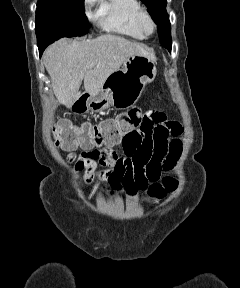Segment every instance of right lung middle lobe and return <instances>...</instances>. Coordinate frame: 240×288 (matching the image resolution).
Masks as SVG:
<instances>
[{"label": "right lung middle lobe", "mask_w": 240, "mask_h": 288, "mask_svg": "<svg viewBox=\"0 0 240 288\" xmlns=\"http://www.w3.org/2000/svg\"><path fill=\"white\" fill-rule=\"evenodd\" d=\"M83 5L84 0H38L35 21L38 46L88 33Z\"/></svg>", "instance_id": "1"}]
</instances>
